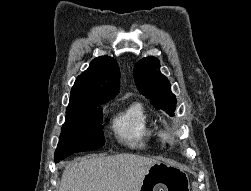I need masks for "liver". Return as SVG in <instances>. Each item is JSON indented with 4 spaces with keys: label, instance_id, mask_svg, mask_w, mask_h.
<instances>
[{
    "label": "liver",
    "instance_id": "1",
    "mask_svg": "<svg viewBox=\"0 0 251 191\" xmlns=\"http://www.w3.org/2000/svg\"><path fill=\"white\" fill-rule=\"evenodd\" d=\"M157 161L134 153L86 155L65 165L59 191H140L148 169Z\"/></svg>",
    "mask_w": 251,
    "mask_h": 191
}]
</instances>
